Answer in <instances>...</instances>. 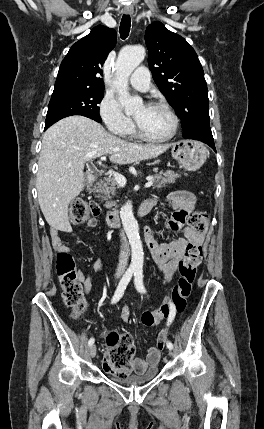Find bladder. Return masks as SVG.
<instances>
[{"mask_svg": "<svg viewBox=\"0 0 264 429\" xmlns=\"http://www.w3.org/2000/svg\"><path fill=\"white\" fill-rule=\"evenodd\" d=\"M158 375V368L154 366L142 374H131L125 377L112 376L111 379L120 385L133 386L152 381Z\"/></svg>", "mask_w": 264, "mask_h": 429, "instance_id": "1", "label": "bladder"}]
</instances>
